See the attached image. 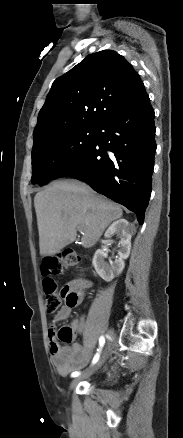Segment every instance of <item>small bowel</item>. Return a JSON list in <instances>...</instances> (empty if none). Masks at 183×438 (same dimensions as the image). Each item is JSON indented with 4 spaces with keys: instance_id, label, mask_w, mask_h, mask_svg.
<instances>
[{
    "instance_id": "small-bowel-1",
    "label": "small bowel",
    "mask_w": 183,
    "mask_h": 438,
    "mask_svg": "<svg viewBox=\"0 0 183 438\" xmlns=\"http://www.w3.org/2000/svg\"><path fill=\"white\" fill-rule=\"evenodd\" d=\"M67 286L78 293L79 301L75 306L65 303L55 315L54 322L68 319L71 309L80 304L85 291L91 287V283L87 280L79 279L71 281ZM70 325L74 330V334L83 333L85 328V317L73 320ZM49 350L52 363L61 376H66L73 370L83 367L89 359V353L81 344L74 342L71 345H61L52 329L49 330Z\"/></svg>"
}]
</instances>
